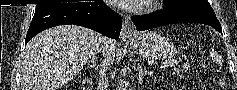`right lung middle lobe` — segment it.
I'll return each instance as SVG.
<instances>
[{
  "instance_id": "right-lung-middle-lobe-1",
  "label": "right lung middle lobe",
  "mask_w": 237,
  "mask_h": 90,
  "mask_svg": "<svg viewBox=\"0 0 237 90\" xmlns=\"http://www.w3.org/2000/svg\"><path fill=\"white\" fill-rule=\"evenodd\" d=\"M49 5H52V4H37L36 6V9H39V8H42V7H45V6H49Z\"/></svg>"
}]
</instances>
